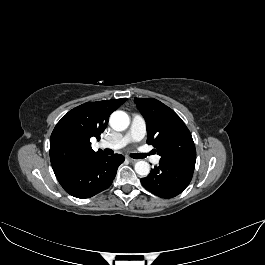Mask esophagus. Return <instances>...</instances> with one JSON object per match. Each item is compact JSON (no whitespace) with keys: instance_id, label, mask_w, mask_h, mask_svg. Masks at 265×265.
I'll use <instances>...</instances> for the list:
<instances>
[{"instance_id":"34e87169","label":"esophagus","mask_w":265,"mask_h":265,"mask_svg":"<svg viewBox=\"0 0 265 265\" xmlns=\"http://www.w3.org/2000/svg\"><path fill=\"white\" fill-rule=\"evenodd\" d=\"M128 158V160L131 162V163H135L137 160L136 159H133V158H131V157H127Z\"/></svg>"}]
</instances>
